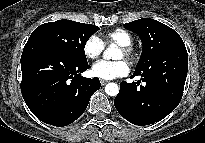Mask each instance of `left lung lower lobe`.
Returning a JSON list of instances; mask_svg holds the SVG:
<instances>
[{"label":"left lung lower lobe","instance_id":"left-lung-lower-lobe-1","mask_svg":"<svg viewBox=\"0 0 205 143\" xmlns=\"http://www.w3.org/2000/svg\"><path fill=\"white\" fill-rule=\"evenodd\" d=\"M188 71V54L184 43L167 48L145 70L137 83L122 82L114 105L132 124L144 126L165 118L181 101ZM144 82V85L140 83ZM140 85V88L137 86Z\"/></svg>","mask_w":205,"mask_h":143}]
</instances>
